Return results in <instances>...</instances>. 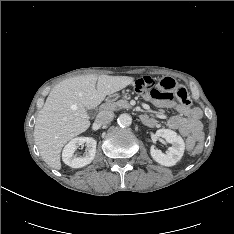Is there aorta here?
Instances as JSON below:
<instances>
[{
	"label": "aorta",
	"mask_w": 234,
	"mask_h": 234,
	"mask_svg": "<svg viewBox=\"0 0 234 234\" xmlns=\"http://www.w3.org/2000/svg\"><path fill=\"white\" fill-rule=\"evenodd\" d=\"M117 121L119 126L129 127L132 124V117L127 113H123L118 117Z\"/></svg>",
	"instance_id": "762f6f07"
}]
</instances>
